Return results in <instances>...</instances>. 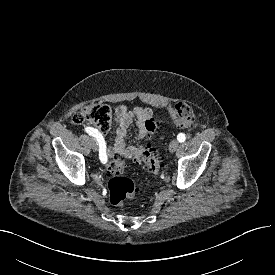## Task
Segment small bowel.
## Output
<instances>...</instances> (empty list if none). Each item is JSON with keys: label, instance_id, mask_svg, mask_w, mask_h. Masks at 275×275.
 Instances as JSON below:
<instances>
[{"label": "small bowel", "instance_id": "small-bowel-1", "mask_svg": "<svg viewBox=\"0 0 275 275\" xmlns=\"http://www.w3.org/2000/svg\"><path fill=\"white\" fill-rule=\"evenodd\" d=\"M153 120V112L150 108L135 107L132 110L125 105H120L115 109L116 133L114 143L106 146V156L110 159H118L119 156L131 158L140 150L137 146L126 145V135L128 128L135 124L138 128L136 139L142 140L150 137L153 133L149 130L147 123Z\"/></svg>", "mask_w": 275, "mask_h": 275}]
</instances>
